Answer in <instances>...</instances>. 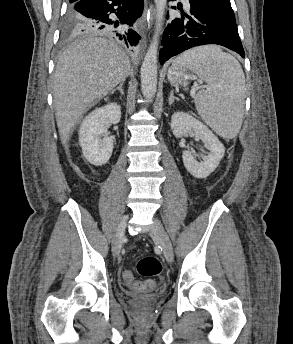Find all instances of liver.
<instances>
[{
  "label": "liver",
  "mask_w": 293,
  "mask_h": 344,
  "mask_svg": "<svg viewBox=\"0 0 293 344\" xmlns=\"http://www.w3.org/2000/svg\"><path fill=\"white\" fill-rule=\"evenodd\" d=\"M130 72L129 57L105 38H83L61 54L54 75L53 96L64 145L88 108L124 82Z\"/></svg>",
  "instance_id": "obj_1"
}]
</instances>
